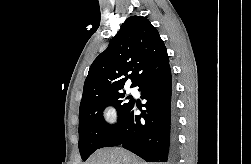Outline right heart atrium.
<instances>
[{
  "instance_id": "right-heart-atrium-1",
  "label": "right heart atrium",
  "mask_w": 251,
  "mask_h": 164,
  "mask_svg": "<svg viewBox=\"0 0 251 164\" xmlns=\"http://www.w3.org/2000/svg\"><path fill=\"white\" fill-rule=\"evenodd\" d=\"M103 123L107 127H114L119 122V114L115 107L109 106L102 113Z\"/></svg>"
}]
</instances>
